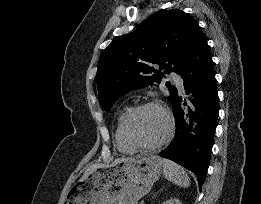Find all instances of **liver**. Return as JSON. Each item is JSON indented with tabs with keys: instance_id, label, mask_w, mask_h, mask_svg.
Returning a JSON list of instances; mask_svg holds the SVG:
<instances>
[{
	"instance_id": "1",
	"label": "liver",
	"mask_w": 261,
	"mask_h": 204,
	"mask_svg": "<svg viewBox=\"0 0 261 204\" xmlns=\"http://www.w3.org/2000/svg\"><path fill=\"white\" fill-rule=\"evenodd\" d=\"M123 160H132V158H120V159H116L113 163L119 162V161H123ZM103 165H99V164H91L86 171L84 172V175L82 176L81 180H84L91 172H93L95 169H97L98 167H101Z\"/></svg>"
}]
</instances>
